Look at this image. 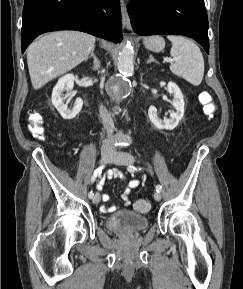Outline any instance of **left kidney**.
<instances>
[{
    "instance_id": "obj_1",
    "label": "left kidney",
    "mask_w": 243,
    "mask_h": 289,
    "mask_svg": "<svg viewBox=\"0 0 243 289\" xmlns=\"http://www.w3.org/2000/svg\"><path fill=\"white\" fill-rule=\"evenodd\" d=\"M168 93L174 95L173 105L176 109L175 112L170 113V118H164L161 120L158 117L157 109L154 106H150L148 110V116L150 121L158 129L173 130L182 119L184 115V98L179 87L173 83L169 82L167 85Z\"/></svg>"
}]
</instances>
